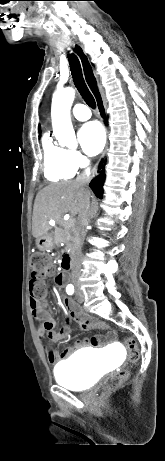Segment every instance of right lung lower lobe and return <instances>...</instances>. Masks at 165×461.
Segmentation results:
<instances>
[{
	"mask_svg": "<svg viewBox=\"0 0 165 461\" xmlns=\"http://www.w3.org/2000/svg\"><path fill=\"white\" fill-rule=\"evenodd\" d=\"M99 170H98V173L99 175L96 176L92 181L91 183L89 184L90 188L93 190V192L95 193V195L98 197V198H101L102 197V193H103V183H104V180H105V177H104V165H99Z\"/></svg>",
	"mask_w": 165,
	"mask_h": 461,
	"instance_id": "obj_1",
	"label": "right lung lower lobe"
}]
</instances>
